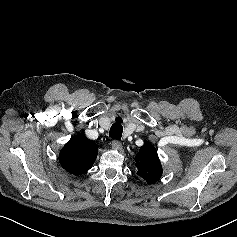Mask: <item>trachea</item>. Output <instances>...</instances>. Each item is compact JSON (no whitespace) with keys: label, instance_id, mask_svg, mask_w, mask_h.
<instances>
[{"label":"trachea","instance_id":"3493384b","mask_svg":"<svg viewBox=\"0 0 237 237\" xmlns=\"http://www.w3.org/2000/svg\"><path fill=\"white\" fill-rule=\"evenodd\" d=\"M122 119L120 117L116 118V122L111 126L109 131V136L112 139L120 140L122 137L123 126L121 125Z\"/></svg>","mask_w":237,"mask_h":237}]
</instances>
